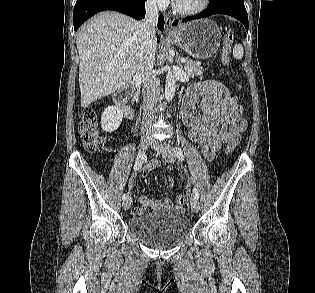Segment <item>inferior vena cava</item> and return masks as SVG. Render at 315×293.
Listing matches in <instances>:
<instances>
[{
  "mask_svg": "<svg viewBox=\"0 0 315 293\" xmlns=\"http://www.w3.org/2000/svg\"><path fill=\"white\" fill-rule=\"evenodd\" d=\"M159 17V10L155 0H146V14L140 24L142 33V58L137 67L136 77L142 82L143 121L142 133L151 129L154 120V106L160 98V81L152 75L155 59V26Z\"/></svg>",
  "mask_w": 315,
  "mask_h": 293,
  "instance_id": "obj_1",
  "label": "inferior vena cava"
}]
</instances>
